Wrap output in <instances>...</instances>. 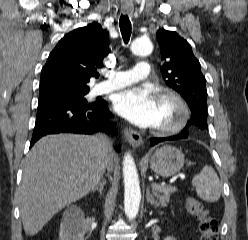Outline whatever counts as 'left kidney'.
<instances>
[{
  "instance_id": "left-kidney-1",
  "label": "left kidney",
  "mask_w": 248,
  "mask_h": 240,
  "mask_svg": "<svg viewBox=\"0 0 248 240\" xmlns=\"http://www.w3.org/2000/svg\"><path fill=\"white\" fill-rule=\"evenodd\" d=\"M164 240H176V239L174 237H172V236H168Z\"/></svg>"
}]
</instances>
